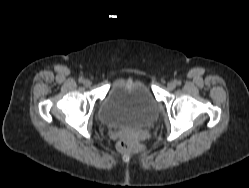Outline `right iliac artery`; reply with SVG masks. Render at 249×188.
Instances as JSON below:
<instances>
[{
	"label": "right iliac artery",
	"mask_w": 249,
	"mask_h": 188,
	"mask_svg": "<svg viewBox=\"0 0 249 188\" xmlns=\"http://www.w3.org/2000/svg\"><path fill=\"white\" fill-rule=\"evenodd\" d=\"M80 83H83L84 82V79L82 77L79 78L78 80Z\"/></svg>",
	"instance_id": "82829eb1"
}]
</instances>
